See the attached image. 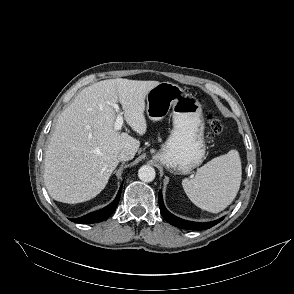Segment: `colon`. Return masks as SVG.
Wrapping results in <instances>:
<instances>
[{"instance_id":"obj_1","label":"colon","mask_w":294,"mask_h":294,"mask_svg":"<svg viewBox=\"0 0 294 294\" xmlns=\"http://www.w3.org/2000/svg\"><path fill=\"white\" fill-rule=\"evenodd\" d=\"M223 127L224 125L221 119H219L215 115L209 116V136L219 134L223 130Z\"/></svg>"}]
</instances>
